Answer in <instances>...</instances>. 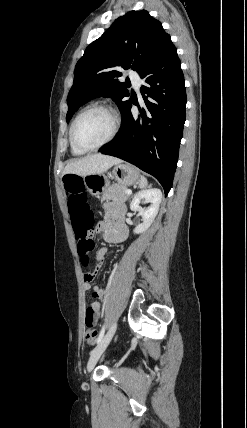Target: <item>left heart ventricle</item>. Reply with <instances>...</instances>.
Wrapping results in <instances>:
<instances>
[{
  "mask_svg": "<svg viewBox=\"0 0 247 428\" xmlns=\"http://www.w3.org/2000/svg\"><path fill=\"white\" fill-rule=\"evenodd\" d=\"M112 129V119L103 110H92L80 117L75 127V138L83 146H95L104 141Z\"/></svg>",
  "mask_w": 247,
  "mask_h": 428,
  "instance_id": "obj_1",
  "label": "left heart ventricle"
}]
</instances>
